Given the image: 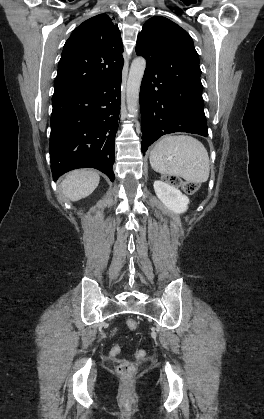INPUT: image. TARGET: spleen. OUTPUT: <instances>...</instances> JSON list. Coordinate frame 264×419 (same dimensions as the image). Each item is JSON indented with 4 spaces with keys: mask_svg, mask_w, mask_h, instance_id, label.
I'll return each instance as SVG.
<instances>
[{
    "mask_svg": "<svg viewBox=\"0 0 264 419\" xmlns=\"http://www.w3.org/2000/svg\"><path fill=\"white\" fill-rule=\"evenodd\" d=\"M153 170L163 175L182 177L187 182L203 183L209 178L210 164L204 145L188 135L167 136L150 152Z\"/></svg>",
    "mask_w": 264,
    "mask_h": 419,
    "instance_id": "3e777b00",
    "label": "spleen"
}]
</instances>
